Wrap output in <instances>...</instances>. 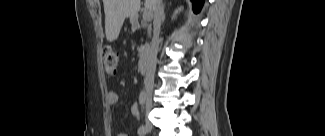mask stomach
Segmentation results:
<instances>
[{
	"mask_svg": "<svg viewBox=\"0 0 325 136\" xmlns=\"http://www.w3.org/2000/svg\"><path fill=\"white\" fill-rule=\"evenodd\" d=\"M135 22H136L135 19L131 18V23H132L133 26H135Z\"/></svg>",
	"mask_w": 325,
	"mask_h": 136,
	"instance_id": "0dacf381",
	"label": "stomach"
}]
</instances>
